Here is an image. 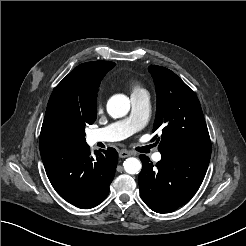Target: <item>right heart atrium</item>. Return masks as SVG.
Returning a JSON list of instances; mask_svg holds the SVG:
<instances>
[{"label": "right heart atrium", "instance_id": "obj_1", "mask_svg": "<svg viewBox=\"0 0 246 246\" xmlns=\"http://www.w3.org/2000/svg\"><path fill=\"white\" fill-rule=\"evenodd\" d=\"M102 106H103L102 100L99 99L98 102H97V109H98V111H100L102 109Z\"/></svg>", "mask_w": 246, "mask_h": 246}]
</instances>
